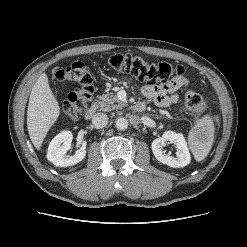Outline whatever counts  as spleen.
Here are the masks:
<instances>
[{"instance_id":"1","label":"spleen","mask_w":247,"mask_h":247,"mask_svg":"<svg viewBox=\"0 0 247 247\" xmlns=\"http://www.w3.org/2000/svg\"><path fill=\"white\" fill-rule=\"evenodd\" d=\"M197 128L202 132V136L196 140H190L191 151L197 162L204 160L208 155L214 135V124L209 115H205L197 122Z\"/></svg>"}]
</instances>
